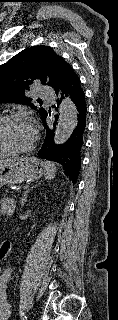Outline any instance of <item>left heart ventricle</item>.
Returning <instances> with one entry per match:
<instances>
[{
    "instance_id": "b2bd125f",
    "label": "left heart ventricle",
    "mask_w": 118,
    "mask_h": 320,
    "mask_svg": "<svg viewBox=\"0 0 118 320\" xmlns=\"http://www.w3.org/2000/svg\"><path fill=\"white\" fill-rule=\"evenodd\" d=\"M32 139L33 130L27 122H9L0 130V140L11 149L25 148L31 143Z\"/></svg>"
}]
</instances>
